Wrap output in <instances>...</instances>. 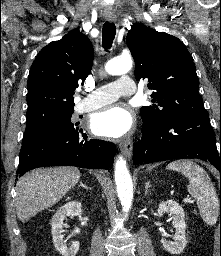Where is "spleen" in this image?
<instances>
[{"instance_id": "obj_1", "label": "spleen", "mask_w": 221, "mask_h": 256, "mask_svg": "<svg viewBox=\"0 0 221 256\" xmlns=\"http://www.w3.org/2000/svg\"><path fill=\"white\" fill-rule=\"evenodd\" d=\"M167 169L189 179L188 192L196 200L203 221L214 225L219 215V199L206 171L190 160L173 161Z\"/></svg>"}]
</instances>
